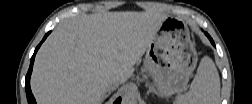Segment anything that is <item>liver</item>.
Masks as SVG:
<instances>
[{
	"label": "liver",
	"mask_w": 252,
	"mask_h": 104,
	"mask_svg": "<svg viewBox=\"0 0 252 104\" xmlns=\"http://www.w3.org/2000/svg\"><path fill=\"white\" fill-rule=\"evenodd\" d=\"M165 15L103 12L61 22L39 49L31 90L40 104H101L111 79L124 83Z\"/></svg>",
	"instance_id": "6515ba94"
}]
</instances>
